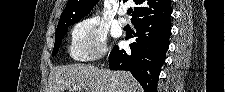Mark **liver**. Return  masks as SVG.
Instances as JSON below:
<instances>
[{
	"instance_id": "6515ba94",
	"label": "liver",
	"mask_w": 225,
	"mask_h": 92,
	"mask_svg": "<svg viewBox=\"0 0 225 92\" xmlns=\"http://www.w3.org/2000/svg\"><path fill=\"white\" fill-rule=\"evenodd\" d=\"M112 77H115L113 83ZM78 86L75 92H142L140 85L126 71L99 69L93 65L74 64L51 69L47 92H66Z\"/></svg>"
}]
</instances>
